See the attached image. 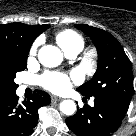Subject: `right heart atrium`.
<instances>
[{
    "instance_id": "right-heart-atrium-1",
    "label": "right heart atrium",
    "mask_w": 136,
    "mask_h": 136,
    "mask_svg": "<svg viewBox=\"0 0 136 136\" xmlns=\"http://www.w3.org/2000/svg\"><path fill=\"white\" fill-rule=\"evenodd\" d=\"M36 49H37V43H35L31 48V51H30L31 57L30 58H32V56L35 54Z\"/></svg>"
}]
</instances>
